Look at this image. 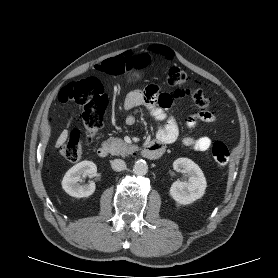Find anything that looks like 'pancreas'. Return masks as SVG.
<instances>
[{"mask_svg": "<svg viewBox=\"0 0 278 278\" xmlns=\"http://www.w3.org/2000/svg\"><path fill=\"white\" fill-rule=\"evenodd\" d=\"M107 146L112 155H121L122 157L127 156L133 150V147L125 143L120 138L111 137L107 139L104 143Z\"/></svg>", "mask_w": 278, "mask_h": 278, "instance_id": "pancreas-1", "label": "pancreas"}]
</instances>
